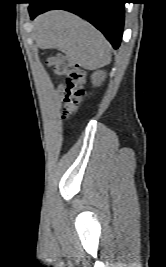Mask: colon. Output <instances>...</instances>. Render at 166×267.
<instances>
[{
	"instance_id": "5ec220e1",
	"label": "colon",
	"mask_w": 166,
	"mask_h": 267,
	"mask_svg": "<svg viewBox=\"0 0 166 267\" xmlns=\"http://www.w3.org/2000/svg\"><path fill=\"white\" fill-rule=\"evenodd\" d=\"M48 63L65 79L62 118L68 120L77 112L84 96L85 71L63 54L50 57Z\"/></svg>"
}]
</instances>
